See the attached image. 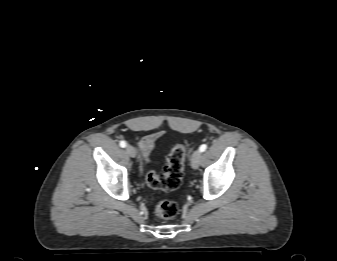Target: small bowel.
Masks as SVG:
<instances>
[{
    "mask_svg": "<svg viewBox=\"0 0 337 261\" xmlns=\"http://www.w3.org/2000/svg\"><path fill=\"white\" fill-rule=\"evenodd\" d=\"M163 135L162 131H157L142 137L137 141L142 157L147 160L155 148L156 141Z\"/></svg>",
    "mask_w": 337,
    "mask_h": 261,
    "instance_id": "small-bowel-1",
    "label": "small bowel"
}]
</instances>
